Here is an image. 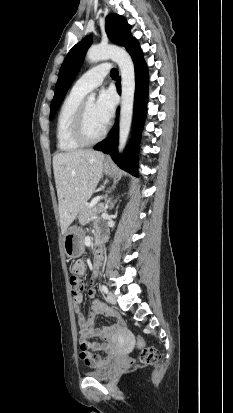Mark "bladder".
Instances as JSON below:
<instances>
[{"label":"bladder","mask_w":233,"mask_h":413,"mask_svg":"<svg viewBox=\"0 0 233 413\" xmlns=\"http://www.w3.org/2000/svg\"><path fill=\"white\" fill-rule=\"evenodd\" d=\"M87 377L98 379V380H109L114 375V368L111 365H107L103 368H99L93 371H88L85 373Z\"/></svg>","instance_id":"31cf9c89"}]
</instances>
